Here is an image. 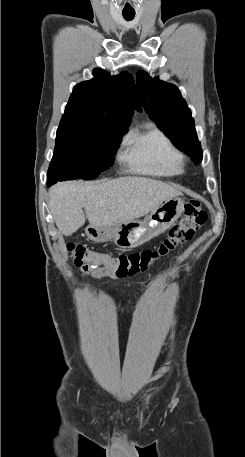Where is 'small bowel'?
<instances>
[{"instance_id": "obj_1", "label": "small bowel", "mask_w": 245, "mask_h": 457, "mask_svg": "<svg viewBox=\"0 0 245 457\" xmlns=\"http://www.w3.org/2000/svg\"><path fill=\"white\" fill-rule=\"evenodd\" d=\"M86 275L91 277V278H94V279H100V278H103V277H109V278H112V279H115V280L120 279L109 268L90 269V270H88L86 272ZM121 309L122 308H120V310Z\"/></svg>"}]
</instances>
